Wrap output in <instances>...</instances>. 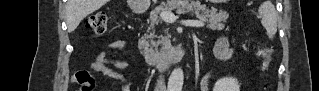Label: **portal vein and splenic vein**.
I'll use <instances>...</instances> for the list:
<instances>
[{"mask_svg":"<svg viewBox=\"0 0 319 91\" xmlns=\"http://www.w3.org/2000/svg\"><path fill=\"white\" fill-rule=\"evenodd\" d=\"M160 17L162 18L163 21L167 23H173L176 21V16L169 11H161L160 12ZM186 26H192V27H203L204 23L201 21H194V20H188V21H183L182 22Z\"/></svg>","mask_w":319,"mask_h":91,"instance_id":"portal-vein-and-splenic-vein-1","label":"portal vein and splenic vein"}]
</instances>
